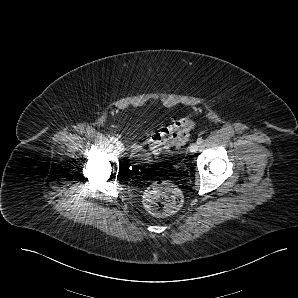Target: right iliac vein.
<instances>
[{
  "instance_id": "right-iliac-vein-1",
  "label": "right iliac vein",
  "mask_w": 298,
  "mask_h": 298,
  "mask_svg": "<svg viewBox=\"0 0 298 298\" xmlns=\"http://www.w3.org/2000/svg\"><path fill=\"white\" fill-rule=\"evenodd\" d=\"M116 147L120 152L124 150V145L120 141L116 142Z\"/></svg>"
}]
</instances>
